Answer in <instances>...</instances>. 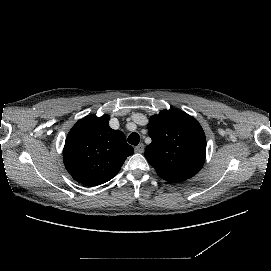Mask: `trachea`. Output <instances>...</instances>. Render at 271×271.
<instances>
[{"mask_svg":"<svg viewBox=\"0 0 271 271\" xmlns=\"http://www.w3.org/2000/svg\"><path fill=\"white\" fill-rule=\"evenodd\" d=\"M128 142L132 145H138L140 142L139 134L137 133L130 134L128 137Z\"/></svg>","mask_w":271,"mask_h":271,"instance_id":"1","label":"trachea"}]
</instances>
